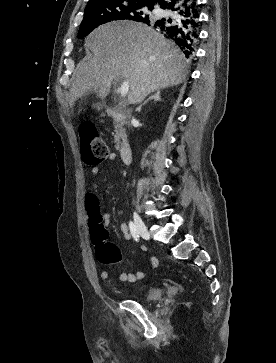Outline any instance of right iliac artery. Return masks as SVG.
I'll list each match as a JSON object with an SVG mask.
<instances>
[{"instance_id": "1", "label": "right iliac artery", "mask_w": 276, "mask_h": 363, "mask_svg": "<svg viewBox=\"0 0 276 363\" xmlns=\"http://www.w3.org/2000/svg\"><path fill=\"white\" fill-rule=\"evenodd\" d=\"M129 229H130V232H131L134 240L138 241L139 240V233H138V231L136 229L135 224L132 221H130V223H129Z\"/></svg>"}]
</instances>
